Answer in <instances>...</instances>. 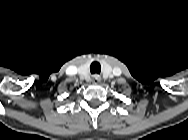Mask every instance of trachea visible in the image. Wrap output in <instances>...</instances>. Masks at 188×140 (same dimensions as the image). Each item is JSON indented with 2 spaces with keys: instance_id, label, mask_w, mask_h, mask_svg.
I'll return each instance as SVG.
<instances>
[{
  "instance_id": "1",
  "label": "trachea",
  "mask_w": 188,
  "mask_h": 140,
  "mask_svg": "<svg viewBox=\"0 0 188 140\" xmlns=\"http://www.w3.org/2000/svg\"><path fill=\"white\" fill-rule=\"evenodd\" d=\"M90 72L92 74H100L101 72V66L98 62H93L91 65H90Z\"/></svg>"
}]
</instances>
